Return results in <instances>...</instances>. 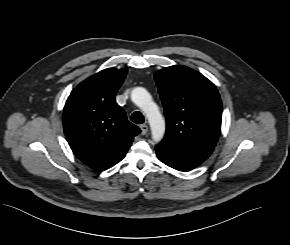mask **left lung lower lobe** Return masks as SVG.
I'll use <instances>...</instances> for the list:
<instances>
[{
	"instance_id": "1",
	"label": "left lung lower lobe",
	"mask_w": 290,
	"mask_h": 245,
	"mask_svg": "<svg viewBox=\"0 0 290 245\" xmlns=\"http://www.w3.org/2000/svg\"><path fill=\"white\" fill-rule=\"evenodd\" d=\"M156 154L159 160L162 161L164 164L179 171H188L194 169L202 163L174 153L167 148L161 146L160 144L156 146Z\"/></svg>"
}]
</instances>
